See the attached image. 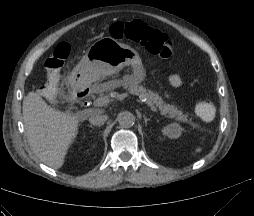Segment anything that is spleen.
Segmentation results:
<instances>
[{
  "label": "spleen",
  "instance_id": "3e777b00",
  "mask_svg": "<svg viewBox=\"0 0 254 216\" xmlns=\"http://www.w3.org/2000/svg\"><path fill=\"white\" fill-rule=\"evenodd\" d=\"M202 151V148L201 147H197L196 149H195V153H200Z\"/></svg>",
  "mask_w": 254,
  "mask_h": 216
}]
</instances>
